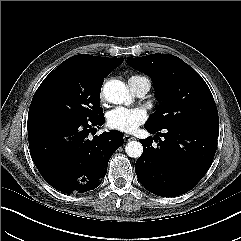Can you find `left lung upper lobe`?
I'll list each match as a JSON object with an SVG mask.
<instances>
[{"instance_id":"1","label":"left lung upper lobe","mask_w":241,"mask_h":241,"mask_svg":"<svg viewBox=\"0 0 241 241\" xmlns=\"http://www.w3.org/2000/svg\"><path fill=\"white\" fill-rule=\"evenodd\" d=\"M127 63L149 74L154 82L160 106L145 126L155 129L188 123L219 126L218 111L209 87L183 60L160 53L127 58Z\"/></svg>"}]
</instances>
